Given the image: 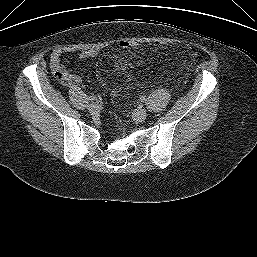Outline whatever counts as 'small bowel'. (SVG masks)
Returning a JSON list of instances; mask_svg holds the SVG:
<instances>
[{"instance_id":"small-bowel-1","label":"small bowel","mask_w":257,"mask_h":257,"mask_svg":"<svg viewBox=\"0 0 257 257\" xmlns=\"http://www.w3.org/2000/svg\"><path fill=\"white\" fill-rule=\"evenodd\" d=\"M65 52L62 48H55L52 50L50 54V66L53 70H64L61 66V56ZM98 55V52L95 50H85L79 53L80 59H89V58H95ZM114 68L117 71L121 72H127L134 68V65L124 59H119L114 63ZM81 83V77L77 74H70L69 75V84L76 85Z\"/></svg>"}]
</instances>
